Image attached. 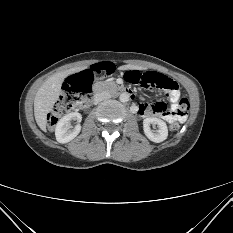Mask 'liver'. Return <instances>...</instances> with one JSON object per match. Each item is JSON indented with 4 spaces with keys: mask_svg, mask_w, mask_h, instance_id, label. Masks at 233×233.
<instances>
[{
    "mask_svg": "<svg viewBox=\"0 0 233 233\" xmlns=\"http://www.w3.org/2000/svg\"><path fill=\"white\" fill-rule=\"evenodd\" d=\"M134 65H123L120 70L137 69ZM83 68H71L69 70L56 73L49 77L42 86L38 89L34 98V116L38 126L42 130H46L47 114L51 112L55 102L58 100L61 86L64 79Z\"/></svg>",
    "mask_w": 233,
    "mask_h": 233,
    "instance_id": "obj_1",
    "label": "liver"
}]
</instances>
